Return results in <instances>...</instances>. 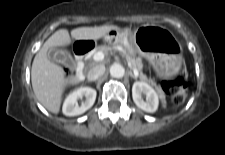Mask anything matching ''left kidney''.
I'll return each instance as SVG.
<instances>
[{"instance_id":"obj_1","label":"left kidney","mask_w":225,"mask_h":155,"mask_svg":"<svg viewBox=\"0 0 225 155\" xmlns=\"http://www.w3.org/2000/svg\"><path fill=\"white\" fill-rule=\"evenodd\" d=\"M146 96V101L143 99ZM132 97L135 104L148 113H153L158 109V93L145 82H135L132 86Z\"/></svg>"}]
</instances>
